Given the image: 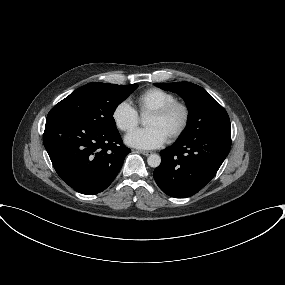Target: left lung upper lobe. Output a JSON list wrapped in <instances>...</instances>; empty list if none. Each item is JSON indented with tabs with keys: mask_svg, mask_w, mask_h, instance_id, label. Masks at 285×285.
<instances>
[{
	"mask_svg": "<svg viewBox=\"0 0 285 285\" xmlns=\"http://www.w3.org/2000/svg\"><path fill=\"white\" fill-rule=\"evenodd\" d=\"M155 86L177 93L186 102L188 123L180 139L214 133L231 135L227 112L202 87L190 82L155 83Z\"/></svg>",
	"mask_w": 285,
	"mask_h": 285,
	"instance_id": "5c2ea615",
	"label": "left lung upper lobe"
}]
</instances>
